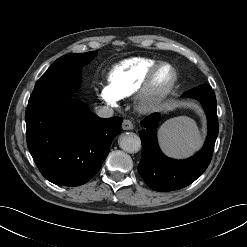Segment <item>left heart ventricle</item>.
<instances>
[{
  "label": "left heart ventricle",
  "instance_id": "1",
  "mask_svg": "<svg viewBox=\"0 0 247 247\" xmlns=\"http://www.w3.org/2000/svg\"><path fill=\"white\" fill-rule=\"evenodd\" d=\"M172 78V72L170 68L164 67L162 68L156 75L153 83L154 92L162 91L170 82Z\"/></svg>",
  "mask_w": 247,
  "mask_h": 247
}]
</instances>
